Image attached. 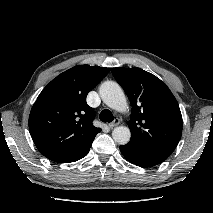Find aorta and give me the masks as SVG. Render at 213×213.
Instances as JSON below:
<instances>
[{
  "label": "aorta",
  "mask_w": 213,
  "mask_h": 213,
  "mask_svg": "<svg viewBox=\"0 0 213 213\" xmlns=\"http://www.w3.org/2000/svg\"><path fill=\"white\" fill-rule=\"evenodd\" d=\"M103 102L110 108L123 112L127 109V100L122 88L113 81L104 82L99 89ZM114 141L125 145L130 141L131 132L126 126H118L112 131Z\"/></svg>",
  "instance_id": "1"
}]
</instances>
